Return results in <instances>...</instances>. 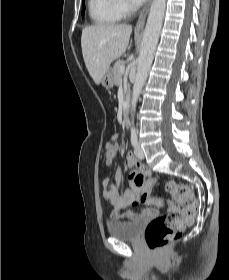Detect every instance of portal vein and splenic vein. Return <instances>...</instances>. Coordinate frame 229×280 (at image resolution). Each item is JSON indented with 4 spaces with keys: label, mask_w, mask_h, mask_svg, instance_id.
<instances>
[{
    "label": "portal vein and splenic vein",
    "mask_w": 229,
    "mask_h": 280,
    "mask_svg": "<svg viewBox=\"0 0 229 280\" xmlns=\"http://www.w3.org/2000/svg\"><path fill=\"white\" fill-rule=\"evenodd\" d=\"M119 70H120V73H121V74H123V73H124V70H125L124 65H122V66L120 67V69H119Z\"/></svg>",
    "instance_id": "obj_1"
}]
</instances>
